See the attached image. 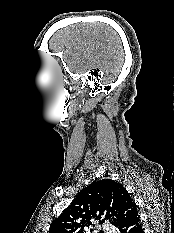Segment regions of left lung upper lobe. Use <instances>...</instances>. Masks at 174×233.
<instances>
[{"label": "left lung upper lobe", "instance_id": "1", "mask_svg": "<svg viewBox=\"0 0 174 233\" xmlns=\"http://www.w3.org/2000/svg\"><path fill=\"white\" fill-rule=\"evenodd\" d=\"M136 212V204L127 190L118 182L105 179L83 188L52 221L49 233H84L93 220H99V223L109 220L118 227Z\"/></svg>", "mask_w": 174, "mask_h": 233}]
</instances>
